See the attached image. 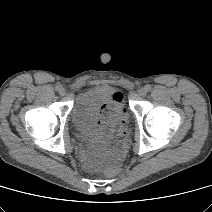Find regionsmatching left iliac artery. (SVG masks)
Instances as JSON below:
<instances>
[{"mask_svg":"<svg viewBox=\"0 0 212 212\" xmlns=\"http://www.w3.org/2000/svg\"><path fill=\"white\" fill-rule=\"evenodd\" d=\"M145 88L147 91H151V89H152L151 85H146Z\"/></svg>","mask_w":212,"mask_h":212,"instance_id":"1","label":"left iliac artery"}]
</instances>
